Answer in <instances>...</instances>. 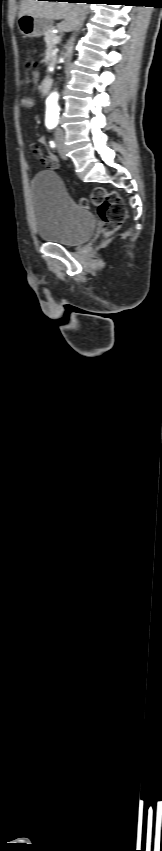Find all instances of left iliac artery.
<instances>
[{"mask_svg":"<svg viewBox=\"0 0 162 851\" xmlns=\"http://www.w3.org/2000/svg\"><path fill=\"white\" fill-rule=\"evenodd\" d=\"M50 145H51V147H55V144L53 143V141L50 142Z\"/></svg>","mask_w":162,"mask_h":851,"instance_id":"44dca946","label":"left iliac artery"}]
</instances>
